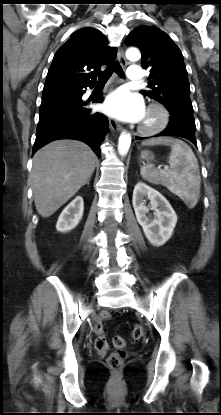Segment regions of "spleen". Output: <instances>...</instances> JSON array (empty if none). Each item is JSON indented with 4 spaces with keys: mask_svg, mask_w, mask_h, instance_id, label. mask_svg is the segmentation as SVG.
<instances>
[{
    "mask_svg": "<svg viewBox=\"0 0 221 415\" xmlns=\"http://www.w3.org/2000/svg\"><path fill=\"white\" fill-rule=\"evenodd\" d=\"M168 145L169 169L158 170L153 165L141 167V176L155 185H163L179 196L187 206L193 208L200 197V173L197 158L192 149L183 141L173 138H156L143 142V145Z\"/></svg>",
    "mask_w": 221,
    "mask_h": 415,
    "instance_id": "1",
    "label": "spleen"
}]
</instances>
